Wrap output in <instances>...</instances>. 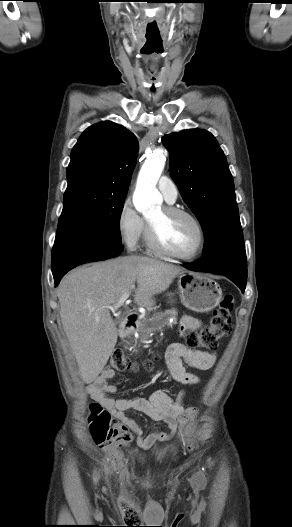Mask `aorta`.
<instances>
[{"mask_svg": "<svg viewBox=\"0 0 292 527\" xmlns=\"http://www.w3.org/2000/svg\"><path fill=\"white\" fill-rule=\"evenodd\" d=\"M165 162L166 152L162 148H156L147 156L138 174L133 204L136 210L144 215L151 213L162 202L156 184Z\"/></svg>", "mask_w": 292, "mask_h": 527, "instance_id": "1", "label": "aorta"}]
</instances>
